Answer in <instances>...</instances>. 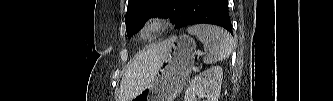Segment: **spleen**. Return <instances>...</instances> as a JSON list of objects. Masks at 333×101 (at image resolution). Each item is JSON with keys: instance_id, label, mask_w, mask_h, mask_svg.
<instances>
[{"instance_id": "spleen-1", "label": "spleen", "mask_w": 333, "mask_h": 101, "mask_svg": "<svg viewBox=\"0 0 333 101\" xmlns=\"http://www.w3.org/2000/svg\"><path fill=\"white\" fill-rule=\"evenodd\" d=\"M188 33L197 36L206 53L204 63L212 64L229 57L233 43L231 35L223 28L212 25H194Z\"/></svg>"}]
</instances>
